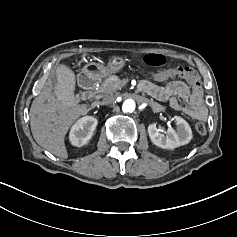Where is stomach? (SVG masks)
I'll return each instance as SVG.
<instances>
[{
	"label": "stomach",
	"mask_w": 237,
	"mask_h": 237,
	"mask_svg": "<svg viewBox=\"0 0 237 237\" xmlns=\"http://www.w3.org/2000/svg\"><path fill=\"white\" fill-rule=\"evenodd\" d=\"M125 64V59L121 57H114L112 60L109 62L107 67H104L102 65L96 64V67L98 69V77H106L107 75L111 73H116L120 71Z\"/></svg>",
	"instance_id": "obj_1"
}]
</instances>
